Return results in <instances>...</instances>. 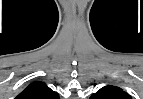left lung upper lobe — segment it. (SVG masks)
Returning <instances> with one entry per match:
<instances>
[{
	"mask_svg": "<svg viewBox=\"0 0 143 99\" xmlns=\"http://www.w3.org/2000/svg\"><path fill=\"white\" fill-rule=\"evenodd\" d=\"M90 99H131V96L117 86L107 85L92 94Z\"/></svg>",
	"mask_w": 143,
	"mask_h": 99,
	"instance_id": "5c2ea615",
	"label": "left lung upper lobe"
}]
</instances>
